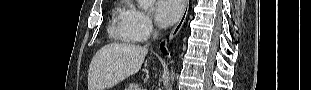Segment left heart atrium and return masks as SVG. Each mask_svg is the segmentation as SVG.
I'll list each match as a JSON object with an SVG mask.
<instances>
[{
	"instance_id": "obj_1",
	"label": "left heart atrium",
	"mask_w": 311,
	"mask_h": 90,
	"mask_svg": "<svg viewBox=\"0 0 311 90\" xmlns=\"http://www.w3.org/2000/svg\"><path fill=\"white\" fill-rule=\"evenodd\" d=\"M181 0H160L158 1L155 14L157 21L162 27H169L174 24L182 12Z\"/></svg>"
}]
</instances>
